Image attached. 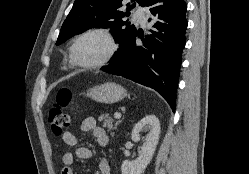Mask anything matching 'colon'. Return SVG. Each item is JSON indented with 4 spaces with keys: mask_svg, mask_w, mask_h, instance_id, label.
<instances>
[{
    "mask_svg": "<svg viewBox=\"0 0 249 174\" xmlns=\"http://www.w3.org/2000/svg\"><path fill=\"white\" fill-rule=\"evenodd\" d=\"M72 99L69 89H62L57 95V104L48 113L51 130L56 135L64 134L70 127V115L65 111Z\"/></svg>",
    "mask_w": 249,
    "mask_h": 174,
    "instance_id": "5ec220e1",
    "label": "colon"
}]
</instances>
